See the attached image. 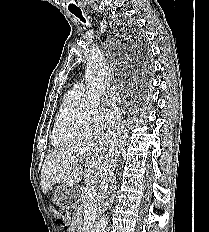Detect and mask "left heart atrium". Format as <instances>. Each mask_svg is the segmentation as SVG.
Segmentation results:
<instances>
[{"label":"left heart atrium","instance_id":"obj_1","mask_svg":"<svg viewBox=\"0 0 209 232\" xmlns=\"http://www.w3.org/2000/svg\"><path fill=\"white\" fill-rule=\"evenodd\" d=\"M118 99V94L114 90H111L107 95L106 102L111 106H115Z\"/></svg>","mask_w":209,"mask_h":232}]
</instances>
